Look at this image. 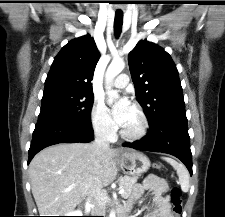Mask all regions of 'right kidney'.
<instances>
[{
    "instance_id": "1",
    "label": "right kidney",
    "mask_w": 225,
    "mask_h": 217,
    "mask_svg": "<svg viewBox=\"0 0 225 217\" xmlns=\"http://www.w3.org/2000/svg\"><path fill=\"white\" fill-rule=\"evenodd\" d=\"M66 216H81L82 214H80L79 211H74V212H71L70 214H65Z\"/></svg>"
}]
</instances>
